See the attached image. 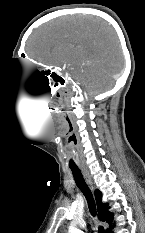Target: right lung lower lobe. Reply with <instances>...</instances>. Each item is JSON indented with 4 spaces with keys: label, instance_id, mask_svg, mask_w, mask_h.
Instances as JSON below:
<instances>
[{
    "label": "right lung lower lobe",
    "instance_id": "right-lung-lower-lobe-1",
    "mask_svg": "<svg viewBox=\"0 0 145 233\" xmlns=\"http://www.w3.org/2000/svg\"><path fill=\"white\" fill-rule=\"evenodd\" d=\"M113 228V226H111ZM111 228L107 231V233H112Z\"/></svg>",
    "mask_w": 145,
    "mask_h": 233
}]
</instances>
